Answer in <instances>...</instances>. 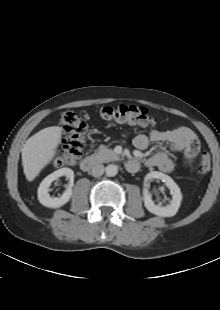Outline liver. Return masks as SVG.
Segmentation results:
<instances>
[{"mask_svg":"<svg viewBox=\"0 0 220 310\" xmlns=\"http://www.w3.org/2000/svg\"><path fill=\"white\" fill-rule=\"evenodd\" d=\"M62 128L47 127L31 136L22 148L23 171L33 181L55 157L61 142Z\"/></svg>","mask_w":220,"mask_h":310,"instance_id":"1","label":"liver"}]
</instances>
